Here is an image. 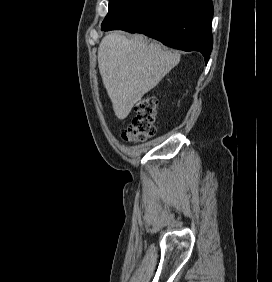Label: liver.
I'll use <instances>...</instances> for the list:
<instances>
[{"mask_svg": "<svg viewBox=\"0 0 272 282\" xmlns=\"http://www.w3.org/2000/svg\"><path fill=\"white\" fill-rule=\"evenodd\" d=\"M180 61V54L163 49L143 35L128 39L119 32L105 36L98 48V67L119 120Z\"/></svg>", "mask_w": 272, "mask_h": 282, "instance_id": "liver-1", "label": "liver"}]
</instances>
